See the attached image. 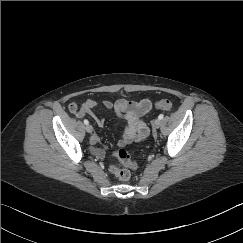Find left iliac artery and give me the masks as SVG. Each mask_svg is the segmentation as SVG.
I'll return each instance as SVG.
<instances>
[{"instance_id": "1", "label": "left iliac artery", "mask_w": 243, "mask_h": 243, "mask_svg": "<svg viewBox=\"0 0 243 243\" xmlns=\"http://www.w3.org/2000/svg\"><path fill=\"white\" fill-rule=\"evenodd\" d=\"M163 117H164V115H163V114H160V115L158 116V119L162 120Z\"/></svg>"}]
</instances>
